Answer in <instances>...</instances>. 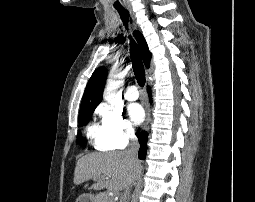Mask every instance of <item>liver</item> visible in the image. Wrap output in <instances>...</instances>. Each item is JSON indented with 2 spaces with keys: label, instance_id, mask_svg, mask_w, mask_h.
Here are the masks:
<instances>
[{
  "label": "liver",
  "instance_id": "6515ba94",
  "mask_svg": "<svg viewBox=\"0 0 255 202\" xmlns=\"http://www.w3.org/2000/svg\"><path fill=\"white\" fill-rule=\"evenodd\" d=\"M140 171L124 152L92 153L81 157L76 164L74 184L94 179L92 188L119 192L130 187Z\"/></svg>",
  "mask_w": 255,
  "mask_h": 202
}]
</instances>
